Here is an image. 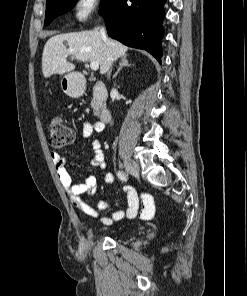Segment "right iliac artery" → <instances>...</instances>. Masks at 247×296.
<instances>
[{"label": "right iliac artery", "mask_w": 247, "mask_h": 296, "mask_svg": "<svg viewBox=\"0 0 247 296\" xmlns=\"http://www.w3.org/2000/svg\"><path fill=\"white\" fill-rule=\"evenodd\" d=\"M117 175L121 181H127V175L123 171H118Z\"/></svg>", "instance_id": "1"}]
</instances>
